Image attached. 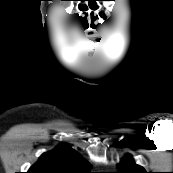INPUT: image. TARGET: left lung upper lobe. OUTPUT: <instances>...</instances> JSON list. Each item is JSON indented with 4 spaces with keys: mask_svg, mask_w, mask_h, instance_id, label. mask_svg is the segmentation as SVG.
<instances>
[{
    "mask_svg": "<svg viewBox=\"0 0 173 173\" xmlns=\"http://www.w3.org/2000/svg\"><path fill=\"white\" fill-rule=\"evenodd\" d=\"M118 173H147L143 167L136 165L130 155H126L117 165Z\"/></svg>",
    "mask_w": 173,
    "mask_h": 173,
    "instance_id": "obj_1",
    "label": "left lung upper lobe"
}]
</instances>
